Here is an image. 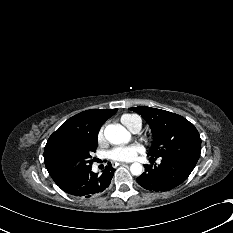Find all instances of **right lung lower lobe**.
Instances as JSON below:
<instances>
[{
  "instance_id": "right-lung-lower-lobe-1",
  "label": "right lung lower lobe",
  "mask_w": 233,
  "mask_h": 233,
  "mask_svg": "<svg viewBox=\"0 0 233 233\" xmlns=\"http://www.w3.org/2000/svg\"><path fill=\"white\" fill-rule=\"evenodd\" d=\"M114 172L115 169L110 163L101 174L92 172L89 167L65 179L58 186L70 195L89 198L103 192L109 186Z\"/></svg>"
}]
</instances>
